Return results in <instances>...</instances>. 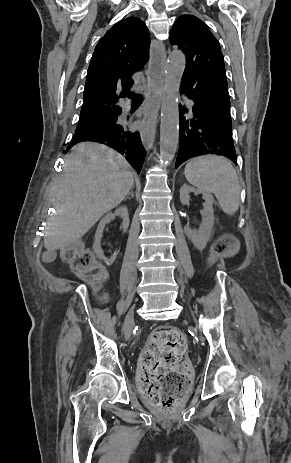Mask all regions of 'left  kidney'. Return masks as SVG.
I'll list each match as a JSON object with an SVG mask.
<instances>
[{
    "mask_svg": "<svg viewBox=\"0 0 291 463\" xmlns=\"http://www.w3.org/2000/svg\"><path fill=\"white\" fill-rule=\"evenodd\" d=\"M191 192L202 194L203 199L205 200L204 209L200 212L202 215V223L198 230L192 229L189 225H187L184 228V232L194 246L198 250L202 251L210 239L212 228L214 226V197L208 191L195 189L190 185L184 184L180 189V201L183 205H187L189 203V194Z\"/></svg>",
    "mask_w": 291,
    "mask_h": 463,
    "instance_id": "1",
    "label": "left kidney"
}]
</instances>
